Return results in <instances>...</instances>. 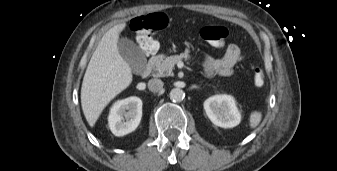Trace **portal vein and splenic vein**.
Segmentation results:
<instances>
[{
  "label": "portal vein and splenic vein",
  "instance_id": "portal-vein-and-splenic-vein-1",
  "mask_svg": "<svg viewBox=\"0 0 337 171\" xmlns=\"http://www.w3.org/2000/svg\"><path fill=\"white\" fill-rule=\"evenodd\" d=\"M178 67H180V68L183 67V63L179 62Z\"/></svg>",
  "mask_w": 337,
  "mask_h": 171
}]
</instances>
